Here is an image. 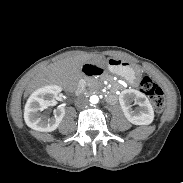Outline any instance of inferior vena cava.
<instances>
[{"mask_svg": "<svg viewBox=\"0 0 183 183\" xmlns=\"http://www.w3.org/2000/svg\"><path fill=\"white\" fill-rule=\"evenodd\" d=\"M75 105L77 107H85L88 105V99L85 96H79L75 100Z\"/></svg>", "mask_w": 183, "mask_h": 183, "instance_id": "obj_1", "label": "inferior vena cava"}]
</instances>
